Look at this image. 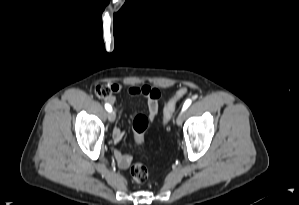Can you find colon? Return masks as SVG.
Returning <instances> with one entry per match:
<instances>
[{
	"label": "colon",
	"instance_id": "obj_1",
	"mask_svg": "<svg viewBox=\"0 0 299 205\" xmlns=\"http://www.w3.org/2000/svg\"><path fill=\"white\" fill-rule=\"evenodd\" d=\"M114 88L111 85L101 84L95 88V94L98 98L111 101ZM188 93L187 88L179 89L175 95L168 101L163 112V123L167 124L174 115L176 105ZM149 120L144 114H138L133 119V130L136 142L143 144L144 133L148 127ZM130 176L136 183H143L148 178V170L141 163H135L130 168Z\"/></svg>",
	"mask_w": 299,
	"mask_h": 205
}]
</instances>
